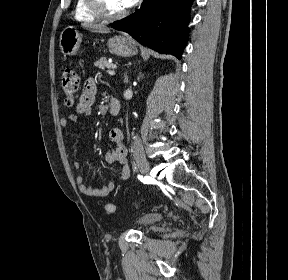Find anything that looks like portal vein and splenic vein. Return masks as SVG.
I'll return each mask as SVG.
<instances>
[{
	"label": "portal vein and splenic vein",
	"mask_w": 288,
	"mask_h": 280,
	"mask_svg": "<svg viewBox=\"0 0 288 280\" xmlns=\"http://www.w3.org/2000/svg\"><path fill=\"white\" fill-rule=\"evenodd\" d=\"M111 68H112V69H109V70H108V74H109V75H115L114 69L116 68V66H112Z\"/></svg>",
	"instance_id": "obj_1"
}]
</instances>
